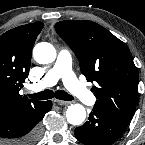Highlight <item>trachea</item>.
<instances>
[{"instance_id": "1", "label": "trachea", "mask_w": 145, "mask_h": 145, "mask_svg": "<svg viewBox=\"0 0 145 145\" xmlns=\"http://www.w3.org/2000/svg\"><path fill=\"white\" fill-rule=\"evenodd\" d=\"M28 96L30 98L39 99V100L51 99L54 96L57 99L64 100V101L74 100L73 96L69 95L68 93H66L63 90H57V91L53 92L52 90L47 89V90L41 91V92L36 93V94H28Z\"/></svg>"}]
</instances>
